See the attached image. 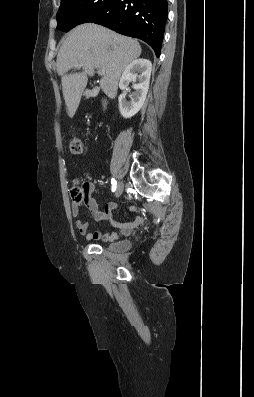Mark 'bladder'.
<instances>
[{"label": "bladder", "instance_id": "bladder-1", "mask_svg": "<svg viewBox=\"0 0 254 397\" xmlns=\"http://www.w3.org/2000/svg\"><path fill=\"white\" fill-rule=\"evenodd\" d=\"M126 243L124 241H118V242H114L111 243L110 245H108V248L112 249V250H121L125 247Z\"/></svg>", "mask_w": 254, "mask_h": 397}]
</instances>
